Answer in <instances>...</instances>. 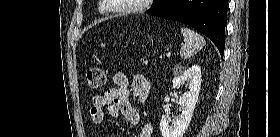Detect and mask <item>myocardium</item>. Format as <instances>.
<instances>
[{"label": "myocardium", "instance_id": "myocardium-1", "mask_svg": "<svg viewBox=\"0 0 280 137\" xmlns=\"http://www.w3.org/2000/svg\"><path fill=\"white\" fill-rule=\"evenodd\" d=\"M103 2H104V6L106 7V9H109L116 13L130 14V13H134V12L141 11L142 9H144V5L147 2H149V0H136L135 4L125 7V8H121V9L113 8L110 4L107 3L108 2L107 0H103Z\"/></svg>", "mask_w": 280, "mask_h": 137}]
</instances>
